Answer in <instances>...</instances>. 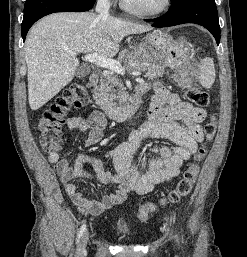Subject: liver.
<instances>
[{
  "label": "liver",
  "mask_w": 247,
  "mask_h": 257,
  "mask_svg": "<svg viewBox=\"0 0 247 257\" xmlns=\"http://www.w3.org/2000/svg\"><path fill=\"white\" fill-rule=\"evenodd\" d=\"M149 30L139 23L91 12L44 17L31 28L25 42L30 108H41L74 78L79 60L68 51L112 58L125 36Z\"/></svg>",
  "instance_id": "liver-1"
}]
</instances>
